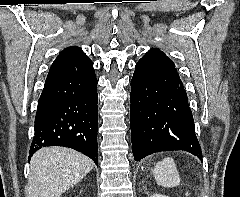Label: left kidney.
<instances>
[{
	"mask_svg": "<svg viewBox=\"0 0 240 197\" xmlns=\"http://www.w3.org/2000/svg\"><path fill=\"white\" fill-rule=\"evenodd\" d=\"M150 197H169V196L155 193V194H152Z\"/></svg>",
	"mask_w": 240,
	"mask_h": 197,
	"instance_id": "left-kidney-1",
	"label": "left kidney"
}]
</instances>
